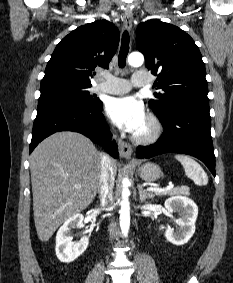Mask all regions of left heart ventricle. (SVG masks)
Listing matches in <instances>:
<instances>
[{
    "mask_svg": "<svg viewBox=\"0 0 233 283\" xmlns=\"http://www.w3.org/2000/svg\"><path fill=\"white\" fill-rule=\"evenodd\" d=\"M149 129H150L149 122L145 118L144 122L141 124V126L139 127V129L136 133L137 134H144V133L148 132Z\"/></svg>",
    "mask_w": 233,
    "mask_h": 283,
    "instance_id": "b2bd125f",
    "label": "left heart ventricle"
}]
</instances>
